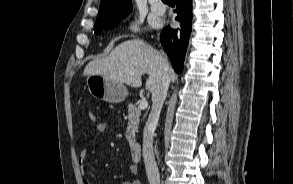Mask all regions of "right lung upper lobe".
<instances>
[{"instance_id": "cb5924a9", "label": "right lung upper lobe", "mask_w": 293, "mask_h": 184, "mask_svg": "<svg viewBox=\"0 0 293 184\" xmlns=\"http://www.w3.org/2000/svg\"><path fill=\"white\" fill-rule=\"evenodd\" d=\"M131 9V0H101L95 24H106L125 18Z\"/></svg>"}]
</instances>
